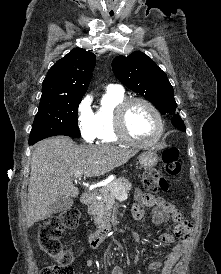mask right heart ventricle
<instances>
[{
  "label": "right heart ventricle",
  "instance_id": "obj_1",
  "mask_svg": "<svg viewBox=\"0 0 221 274\" xmlns=\"http://www.w3.org/2000/svg\"><path fill=\"white\" fill-rule=\"evenodd\" d=\"M126 100L123 90L107 89L95 113L96 139L100 143L122 142L115 130V112L120 103Z\"/></svg>",
  "mask_w": 221,
  "mask_h": 274
}]
</instances>
